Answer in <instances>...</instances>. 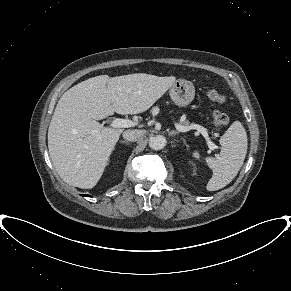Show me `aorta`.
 <instances>
[{"label":"aorta","mask_w":291,"mask_h":291,"mask_svg":"<svg viewBox=\"0 0 291 291\" xmlns=\"http://www.w3.org/2000/svg\"><path fill=\"white\" fill-rule=\"evenodd\" d=\"M166 145V138L162 135H157L150 138L149 147L153 150H160Z\"/></svg>","instance_id":"aorta-1"}]
</instances>
